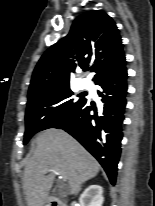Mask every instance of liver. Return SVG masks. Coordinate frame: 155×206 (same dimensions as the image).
I'll list each match as a JSON object with an SVG mask.
<instances>
[{
	"instance_id": "6515ba94",
	"label": "liver",
	"mask_w": 155,
	"mask_h": 206,
	"mask_svg": "<svg viewBox=\"0 0 155 206\" xmlns=\"http://www.w3.org/2000/svg\"><path fill=\"white\" fill-rule=\"evenodd\" d=\"M35 143V152L24 169L23 188L28 206H43L57 171L66 176L70 194H77L82 183L99 172L96 159L63 130H45Z\"/></svg>"
}]
</instances>
